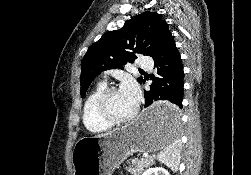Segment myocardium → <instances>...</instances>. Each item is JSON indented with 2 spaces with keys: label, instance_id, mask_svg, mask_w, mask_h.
<instances>
[{
  "label": "myocardium",
  "instance_id": "obj_1",
  "mask_svg": "<svg viewBox=\"0 0 251 175\" xmlns=\"http://www.w3.org/2000/svg\"><path fill=\"white\" fill-rule=\"evenodd\" d=\"M118 90L115 86L106 87L102 93L99 95L97 102H96V110L98 115L107 123L111 125H116L124 122L131 121L135 117V112L127 116H115L113 115L108 109V99L112 92Z\"/></svg>",
  "mask_w": 251,
  "mask_h": 175
}]
</instances>
